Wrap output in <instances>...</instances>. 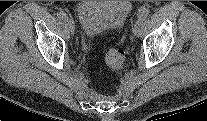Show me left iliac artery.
I'll use <instances>...</instances> for the list:
<instances>
[{"label":"left iliac artery","instance_id":"obj_1","mask_svg":"<svg viewBox=\"0 0 207 121\" xmlns=\"http://www.w3.org/2000/svg\"><path fill=\"white\" fill-rule=\"evenodd\" d=\"M149 13H150L149 9L147 8L141 9L138 14V19L140 20L146 19L149 16Z\"/></svg>","mask_w":207,"mask_h":121}]
</instances>
